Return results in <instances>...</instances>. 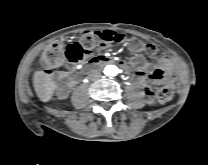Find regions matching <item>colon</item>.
Returning <instances> with one entry per match:
<instances>
[{
    "mask_svg": "<svg viewBox=\"0 0 208 165\" xmlns=\"http://www.w3.org/2000/svg\"><path fill=\"white\" fill-rule=\"evenodd\" d=\"M125 42L128 50L133 54L143 52L149 56L156 53V47L150 43L131 38L125 39L122 34L113 31H84L77 35L76 40L65 46L59 41L52 42L43 51L41 64L46 73H51L52 69L65 66L67 62H89V59L95 55V50L104 43ZM174 96V87L166 85L156 92V99L160 103L171 100Z\"/></svg>",
    "mask_w": 208,
    "mask_h": 165,
    "instance_id": "obj_1",
    "label": "colon"
}]
</instances>
